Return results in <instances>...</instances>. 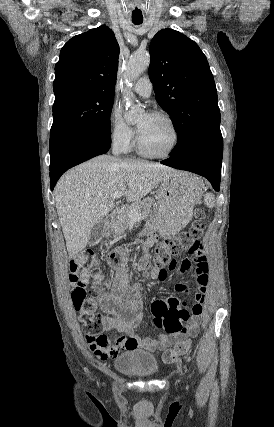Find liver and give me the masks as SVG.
I'll use <instances>...</instances> for the list:
<instances>
[{"mask_svg": "<svg viewBox=\"0 0 274 427\" xmlns=\"http://www.w3.org/2000/svg\"><path fill=\"white\" fill-rule=\"evenodd\" d=\"M175 174L167 166L113 156H97L66 172L54 192L70 257L86 247L92 227L113 210L115 192H123L127 202H138Z\"/></svg>", "mask_w": 274, "mask_h": 427, "instance_id": "obj_1", "label": "liver"}]
</instances>
